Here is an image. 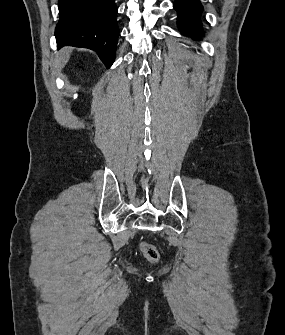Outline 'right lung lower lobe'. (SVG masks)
Wrapping results in <instances>:
<instances>
[{
  "label": "right lung lower lobe",
  "instance_id": "1",
  "mask_svg": "<svg viewBox=\"0 0 285 335\" xmlns=\"http://www.w3.org/2000/svg\"><path fill=\"white\" fill-rule=\"evenodd\" d=\"M58 7L55 29L58 48L94 50L109 68L115 59L119 35L115 0H58Z\"/></svg>",
  "mask_w": 285,
  "mask_h": 335
}]
</instances>
